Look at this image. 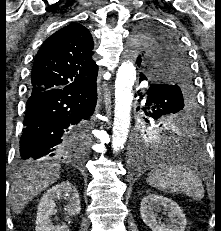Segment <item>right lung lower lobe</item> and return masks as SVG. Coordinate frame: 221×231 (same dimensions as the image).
Instances as JSON below:
<instances>
[{
    "instance_id": "1",
    "label": "right lung lower lobe",
    "mask_w": 221,
    "mask_h": 231,
    "mask_svg": "<svg viewBox=\"0 0 221 231\" xmlns=\"http://www.w3.org/2000/svg\"><path fill=\"white\" fill-rule=\"evenodd\" d=\"M96 80L30 95L20 139L19 160L82 157L88 143L75 128L89 122L96 105Z\"/></svg>"
}]
</instances>
